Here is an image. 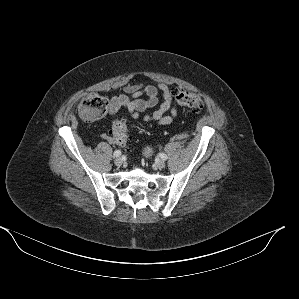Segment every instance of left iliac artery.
Here are the masks:
<instances>
[{"label": "left iliac artery", "instance_id": "1", "mask_svg": "<svg viewBox=\"0 0 299 299\" xmlns=\"http://www.w3.org/2000/svg\"><path fill=\"white\" fill-rule=\"evenodd\" d=\"M159 157L162 159V160H167V155L166 154H164V153H160L159 154Z\"/></svg>", "mask_w": 299, "mask_h": 299}]
</instances>
